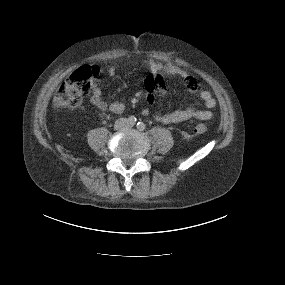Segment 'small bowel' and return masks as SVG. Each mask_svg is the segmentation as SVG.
Wrapping results in <instances>:
<instances>
[{
  "label": "small bowel",
  "instance_id": "small-bowel-1",
  "mask_svg": "<svg viewBox=\"0 0 285 285\" xmlns=\"http://www.w3.org/2000/svg\"><path fill=\"white\" fill-rule=\"evenodd\" d=\"M146 67L150 70L145 79V86L147 89V99L150 104L162 100L166 95V88L161 77V74L179 76L185 80L187 88L190 92L197 94L199 99L203 102L206 109H196L193 106H187L182 109H177L171 112L163 113L157 112L154 117L158 122L165 124L180 123L190 119H197L207 121L211 119L212 112L210 109L216 105V100L212 94L207 90H200L196 79L186 70L174 64H162L148 59L144 62ZM116 66H111L108 70L110 76L115 75ZM91 103L100 110L111 111L113 113H122L124 111V104L122 102L107 103L103 98L101 89L94 83L91 86ZM143 113L148 115L150 109L146 108Z\"/></svg>",
  "mask_w": 285,
  "mask_h": 285
}]
</instances>
